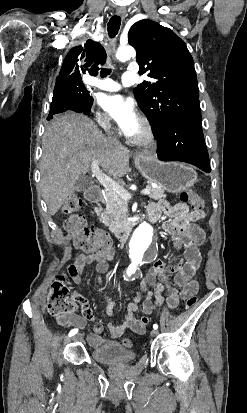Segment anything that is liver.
<instances>
[{"label": "liver", "mask_w": 247, "mask_h": 413, "mask_svg": "<svg viewBox=\"0 0 247 413\" xmlns=\"http://www.w3.org/2000/svg\"><path fill=\"white\" fill-rule=\"evenodd\" d=\"M41 192L50 215H55L75 190L76 180L86 174L92 160L119 178L129 170L130 152L121 142H110L94 120L65 112L52 118L42 140Z\"/></svg>", "instance_id": "1"}]
</instances>
